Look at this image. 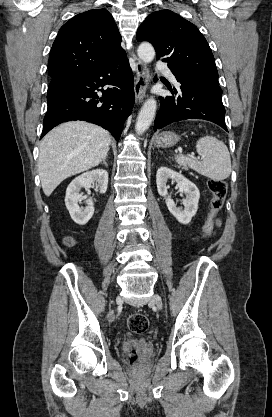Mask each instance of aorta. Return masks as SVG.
Wrapping results in <instances>:
<instances>
[{"mask_svg": "<svg viewBox=\"0 0 272 417\" xmlns=\"http://www.w3.org/2000/svg\"><path fill=\"white\" fill-rule=\"evenodd\" d=\"M138 57L144 63H150L155 57V50L150 43H141L137 50ZM157 109V103L154 98L148 99L142 106L137 122H136V133L138 135L143 134L151 125Z\"/></svg>", "mask_w": 272, "mask_h": 417, "instance_id": "aorta-1", "label": "aorta"}]
</instances>
